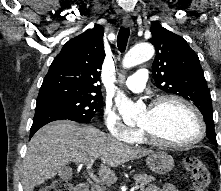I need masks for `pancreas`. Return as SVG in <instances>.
Returning a JSON list of instances; mask_svg holds the SVG:
<instances>
[{
  "mask_svg": "<svg viewBox=\"0 0 221 191\" xmlns=\"http://www.w3.org/2000/svg\"><path fill=\"white\" fill-rule=\"evenodd\" d=\"M135 184H139L140 188L143 189L147 184L154 181L155 178L153 176L147 174H136L134 176ZM92 191H106L105 189L100 188L99 186L92 187Z\"/></svg>",
  "mask_w": 221,
  "mask_h": 191,
  "instance_id": "cf45deb5",
  "label": "pancreas"
}]
</instances>
